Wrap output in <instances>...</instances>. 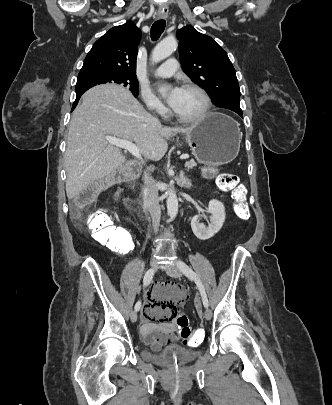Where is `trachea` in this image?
I'll return each instance as SVG.
<instances>
[{
  "label": "trachea",
  "mask_w": 332,
  "mask_h": 405,
  "mask_svg": "<svg viewBox=\"0 0 332 405\" xmlns=\"http://www.w3.org/2000/svg\"><path fill=\"white\" fill-rule=\"evenodd\" d=\"M165 24H166L165 20H158L153 23L150 31V37L153 41L159 39V37L161 36V34L165 29Z\"/></svg>",
  "instance_id": "trachea-1"
}]
</instances>
